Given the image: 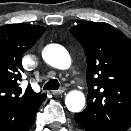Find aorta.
<instances>
[{
	"instance_id": "aorta-1",
	"label": "aorta",
	"mask_w": 131,
	"mask_h": 131,
	"mask_svg": "<svg viewBox=\"0 0 131 131\" xmlns=\"http://www.w3.org/2000/svg\"><path fill=\"white\" fill-rule=\"evenodd\" d=\"M42 56L46 63L58 69H67L71 64L69 53L60 45L50 44L46 46ZM65 104L69 111L80 112L85 105V96L81 91H70L65 97Z\"/></svg>"
}]
</instances>
